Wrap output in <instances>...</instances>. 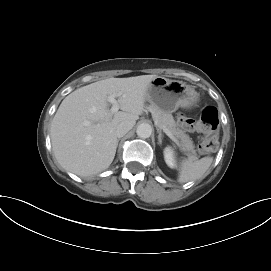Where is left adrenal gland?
I'll list each match as a JSON object with an SVG mask.
<instances>
[{
  "mask_svg": "<svg viewBox=\"0 0 271 271\" xmlns=\"http://www.w3.org/2000/svg\"><path fill=\"white\" fill-rule=\"evenodd\" d=\"M158 132V144L159 145H162V138H163V135L160 131H157Z\"/></svg>",
  "mask_w": 271,
  "mask_h": 271,
  "instance_id": "a2214340",
  "label": "left adrenal gland"
}]
</instances>
